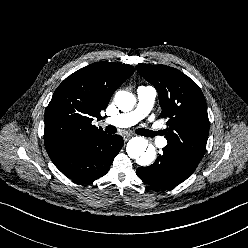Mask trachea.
<instances>
[{
	"instance_id": "1",
	"label": "trachea",
	"mask_w": 248,
	"mask_h": 248,
	"mask_svg": "<svg viewBox=\"0 0 248 248\" xmlns=\"http://www.w3.org/2000/svg\"><path fill=\"white\" fill-rule=\"evenodd\" d=\"M117 129L114 126L108 125L106 127V132L109 134H114L116 133ZM136 132L140 135L146 136V137H151L154 135V132H150L148 130L145 129H137Z\"/></svg>"
}]
</instances>
